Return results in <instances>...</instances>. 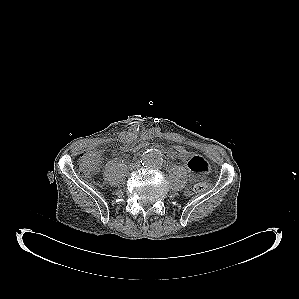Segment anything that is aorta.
I'll return each mask as SVG.
<instances>
[{"label": "aorta", "instance_id": "1", "mask_svg": "<svg viewBox=\"0 0 299 299\" xmlns=\"http://www.w3.org/2000/svg\"><path fill=\"white\" fill-rule=\"evenodd\" d=\"M162 155L156 148L145 151L141 156L143 166L148 168L158 167L162 164Z\"/></svg>", "mask_w": 299, "mask_h": 299}]
</instances>
